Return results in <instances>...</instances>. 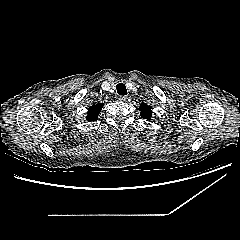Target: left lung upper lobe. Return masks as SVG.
<instances>
[{
    "label": "left lung upper lobe",
    "instance_id": "left-lung-upper-lobe-1",
    "mask_svg": "<svg viewBox=\"0 0 240 240\" xmlns=\"http://www.w3.org/2000/svg\"><path fill=\"white\" fill-rule=\"evenodd\" d=\"M140 113H141V117L144 118V119H151V115H152V110H151V107L144 104V103H141L140 104Z\"/></svg>",
    "mask_w": 240,
    "mask_h": 240
}]
</instances>
